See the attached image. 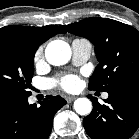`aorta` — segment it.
I'll return each mask as SVG.
<instances>
[{
	"mask_svg": "<svg viewBox=\"0 0 139 139\" xmlns=\"http://www.w3.org/2000/svg\"><path fill=\"white\" fill-rule=\"evenodd\" d=\"M45 57L51 65H64L71 58V48L62 40L51 41L45 49ZM74 109L79 115H88L92 111V102L88 98H78Z\"/></svg>",
	"mask_w": 139,
	"mask_h": 139,
	"instance_id": "aorta-1",
	"label": "aorta"
}]
</instances>
